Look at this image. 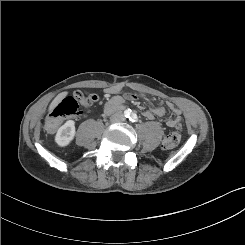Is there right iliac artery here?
<instances>
[{
    "label": "right iliac artery",
    "mask_w": 245,
    "mask_h": 245,
    "mask_svg": "<svg viewBox=\"0 0 245 245\" xmlns=\"http://www.w3.org/2000/svg\"><path fill=\"white\" fill-rule=\"evenodd\" d=\"M124 115L125 117L129 118L131 115V110L130 109L125 110Z\"/></svg>",
    "instance_id": "82829eb1"
}]
</instances>
